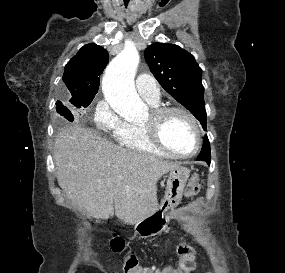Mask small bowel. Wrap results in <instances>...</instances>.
<instances>
[{
	"label": "small bowel",
	"instance_id": "obj_1",
	"mask_svg": "<svg viewBox=\"0 0 285 273\" xmlns=\"http://www.w3.org/2000/svg\"><path fill=\"white\" fill-rule=\"evenodd\" d=\"M172 268H173L172 266H167L161 269H153L154 270L153 273H172V272H167V270H170ZM207 273H211V272H207Z\"/></svg>",
	"mask_w": 285,
	"mask_h": 273
}]
</instances>
